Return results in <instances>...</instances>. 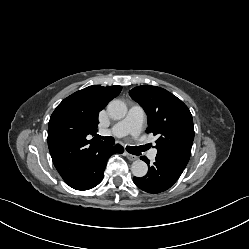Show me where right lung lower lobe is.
Masks as SVG:
<instances>
[{
  "label": "right lung lower lobe",
  "instance_id": "98d812e1",
  "mask_svg": "<svg viewBox=\"0 0 249 249\" xmlns=\"http://www.w3.org/2000/svg\"><path fill=\"white\" fill-rule=\"evenodd\" d=\"M121 145L98 147L76 176L67 184L76 190H88L97 186L104 176L108 158L113 153H123Z\"/></svg>",
  "mask_w": 249,
  "mask_h": 249
}]
</instances>
